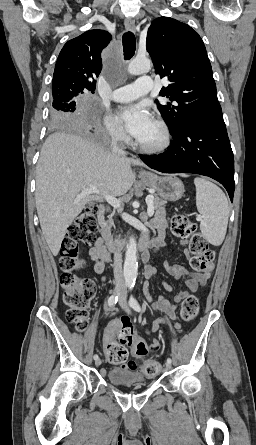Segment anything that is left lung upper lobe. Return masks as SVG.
<instances>
[{"instance_id": "left-lung-upper-lobe-1", "label": "left lung upper lobe", "mask_w": 256, "mask_h": 445, "mask_svg": "<svg viewBox=\"0 0 256 445\" xmlns=\"http://www.w3.org/2000/svg\"><path fill=\"white\" fill-rule=\"evenodd\" d=\"M146 49L156 73L170 82L159 93L170 102L155 101L170 132L191 117L223 119L211 64L196 31L175 19L157 18L148 29Z\"/></svg>"}]
</instances>
